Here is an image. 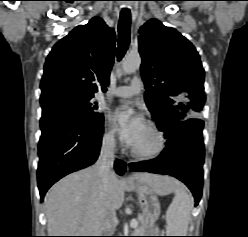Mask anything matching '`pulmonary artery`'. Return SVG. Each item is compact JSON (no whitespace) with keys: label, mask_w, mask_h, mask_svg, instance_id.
<instances>
[{"label":"pulmonary artery","mask_w":248,"mask_h":237,"mask_svg":"<svg viewBox=\"0 0 248 237\" xmlns=\"http://www.w3.org/2000/svg\"><path fill=\"white\" fill-rule=\"evenodd\" d=\"M142 88L143 84L141 79L135 78L131 81L130 85L117 87L110 91L109 94L116 97L129 98L139 94L142 91Z\"/></svg>","instance_id":"e3ab8cb5"}]
</instances>
